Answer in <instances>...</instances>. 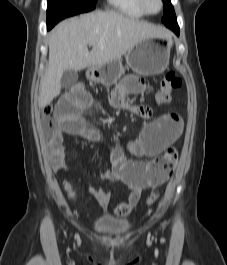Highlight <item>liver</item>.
<instances>
[{
  "mask_svg": "<svg viewBox=\"0 0 227 265\" xmlns=\"http://www.w3.org/2000/svg\"><path fill=\"white\" fill-rule=\"evenodd\" d=\"M168 37L165 29L116 11H96L60 22L50 32L49 63L40 83L39 107L60 94L65 71L101 66L119 60L144 39ZM88 45L93 46L90 52Z\"/></svg>",
  "mask_w": 227,
  "mask_h": 265,
  "instance_id": "liver-1",
  "label": "liver"
}]
</instances>
